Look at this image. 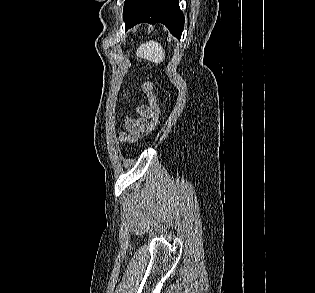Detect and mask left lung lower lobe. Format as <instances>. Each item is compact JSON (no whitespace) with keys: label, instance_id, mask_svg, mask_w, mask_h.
Listing matches in <instances>:
<instances>
[{"label":"left lung lower lobe","instance_id":"0a47b994","mask_svg":"<svg viewBox=\"0 0 315 293\" xmlns=\"http://www.w3.org/2000/svg\"><path fill=\"white\" fill-rule=\"evenodd\" d=\"M126 30L134 25L147 22L162 23L177 38L181 37L184 16L180 11L178 0H140L138 4L124 16Z\"/></svg>","mask_w":315,"mask_h":293}]
</instances>
